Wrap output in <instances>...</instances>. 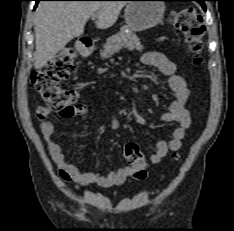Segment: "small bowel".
<instances>
[{"label": "small bowel", "mask_w": 234, "mask_h": 231, "mask_svg": "<svg viewBox=\"0 0 234 231\" xmlns=\"http://www.w3.org/2000/svg\"><path fill=\"white\" fill-rule=\"evenodd\" d=\"M143 62L146 65L156 67L168 77L170 90L174 100L168 105L167 111L162 114L164 122H177L178 126L172 133L170 140L159 139L156 150L150 157L152 164H159L168 153H174L181 149L182 141L187 131L192 126L190 111L187 109L189 90L184 78L176 74V65L164 54L150 52L144 55ZM50 109L45 106L36 108V119L47 144L49 153L58 167L59 175L64 182H74L80 186L98 185L101 187H114L122 185L132 173L131 167H119L109 172H91L81 169L71 163L54 135V124L49 118ZM89 108L85 104H77L71 109L60 112L62 117L85 116ZM111 127H119L118 113L113 110L111 114Z\"/></svg>", "instance_id": "obj_1"}]
</instances>
